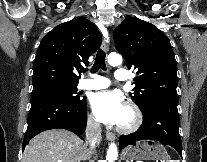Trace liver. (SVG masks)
I'll return each mask as SVG.
<instances>
[{
    "label": "liver",
    "mask_w": 207,
    "mask_h": 162,
    "mask_svg": "<svg viewBox=\"0 0 207 162\" xmlns=\"http://www.w3.org/2000/svg\"><path fill=\"white\" fill-rule=\"evenodd\" d=\"M87 145L74 133L53 129L35 136L26 146L22 162H80L86 160Z\"/></svg>",
    "instance_id": "liver-1"
}]
</instances>
